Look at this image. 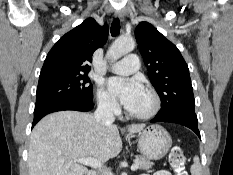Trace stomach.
<instances>
[{
  "mask_svg": "<svg viewBox=\"0 0 233 175\" xmlns=\"http://www.w3.org/2000/svg\"><path fill=\"white\" fill-rule=\"evenodd\" d=\"M137 141L141 154L150 160L163 158L172 146L171 136L160 125H151L139 132Z\"/></svg>",
  "mask_w": 233,
  "mask_h": 175,
  "instance_id": "stomach-1",
  "label": "stomach"
}]
</instances>
